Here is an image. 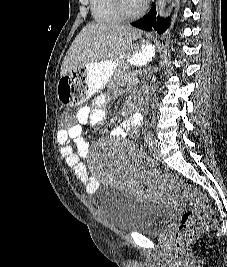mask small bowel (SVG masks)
<instances>
[{
	"instance_id": "c3829d8e",
	"label": "small bowel",
	"mask_w": 227,
	"mask_h": 267,
	"mask_svg": "<svg viewBox=\"0 0 227 267\" xmlns=\"http://www.w3.org/2000/svg\"><path fill=\"white\" fill-rule=\"evenodd\" d=\"M104 100H99L97 104H102ZM104 118V111L92 106L81 107L76 114V121L69 126L68 130H59L57 132V142L59 151L65 159L67 165L73 170L75 176L85 185L86 191L93 194L97 191L99 181L87 170L86 165L81 158L88 153V145L83 137V125L90 122L98 125ZM143 117L140 114H134L127 117L120 127L115 130V135L126 136L134 132L142 124ZM72 143L77 147L78 152L72 148Z\"/></svg>"
}]
</instances>
